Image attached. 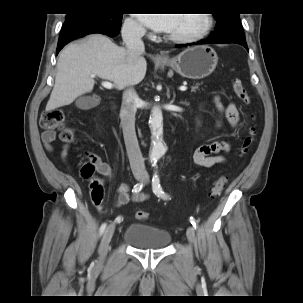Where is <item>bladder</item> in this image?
<instances>
[{
	"instance_id": "31cf9c89",
	"label": "bladder",
	"mask_w": 303,
	"mask_h": 303,
	"mask_svg": "<svg viewBox=\"0 0 303 303\" xmlns=\"http://www.w3.org/2000/svg\"><path fill=\"white\" fill-rule=\"evenodd\" d=\"M124 240L140 249H161L168 245L171 236L167 231L150 225L132 223L124 233Z\"/></svg>"
}]
</instances>
